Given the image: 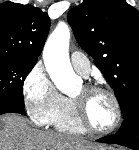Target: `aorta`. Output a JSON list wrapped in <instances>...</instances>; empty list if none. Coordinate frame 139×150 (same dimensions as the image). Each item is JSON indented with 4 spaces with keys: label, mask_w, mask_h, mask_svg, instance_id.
<instances>
[{
    "label": "aorta",
    "mask_w": 139,
    "mask_h": 150,
    "mask_svg": "<svg viewBox=\"0 0 139 150\" xmlns=\"http://www.w3.org/2000/svg\"><path fill=\"white\" fill-rule=\"evenodd\" d=\"M70 30L65 23H59L49 36L43 51L46 70L58 90L64 94L73 92L78 84L68 55Z\"/></svg>",
    "instance_id": "obj_1"
}]
</instances>
